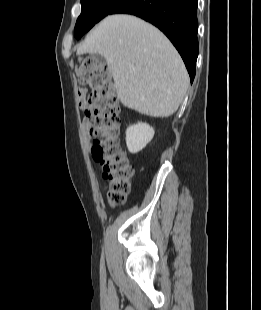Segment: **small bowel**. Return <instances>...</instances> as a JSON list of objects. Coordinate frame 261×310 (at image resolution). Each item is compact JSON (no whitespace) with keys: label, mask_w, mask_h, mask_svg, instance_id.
<instances>
[{"label":"small bowel","mask_w":261,"mask_h":310,"mask_svg":"<svg viewBox=\"0 0 261 310\" xmlns=\"http://www.w3.org/2000/svg\"><path fill=\"white\" fill-rule=\"evenodd\" d=\"M85 94H86L85 89H80V90H79V96H80V98H81L82 100L85 98ZM83 125H84V128H85L86 132L88 133V131H89V129H90V122H89V120H88V119H85V120L83 121Z\"/></svg>","instance_id":"obj_1"}]
</instances>
